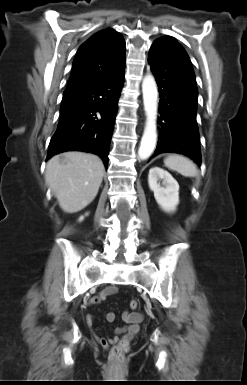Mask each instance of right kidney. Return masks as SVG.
<instances>
[{
	"mask_svg": "<svg viewBox=\"0 0 247 385\" xmlns=\"http://www.w3.org/2000/svg\"><path fill=\"white\" fill-rule=\"evenodd\" d=\"M84 219V217L83 216H81L80 218H79V221H82Z\"/></svg>",
	"mask_w": 247,
	"mask_h": 385,
	"instance_id": "1",
	"label": "right kidney"
}]
</instances>
